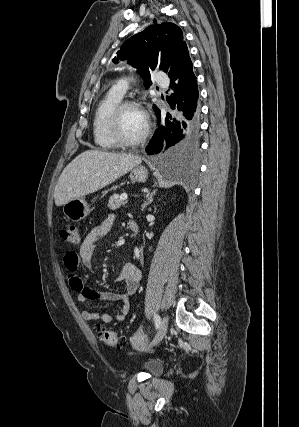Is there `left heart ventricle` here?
<instances>
[{
	"instance_id": "obj_1",
	"label": "left heart ventricle",
	"mask_w": 299,
	"mask_h": 427,
	"mask_svg": "<svg viewBox=\"0 0 299 427\" xmlns=\"http://www.w3.org/2000/svg\"><path fill=\"white\" fill-rule=\"evenodd\" d=\"M146 127V121L141 111L135 108H126L120 117V131L127 139L140 136Z\"/></svg>"
}]
</instances>
